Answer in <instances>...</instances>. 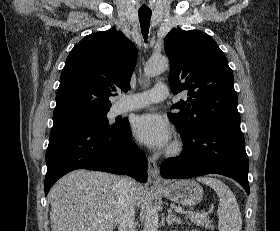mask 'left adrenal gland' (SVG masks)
<instances>
[{"mask_svg":"<svg viewBox=\"0 0 280 231\" xmlns=\"http://www.w3.org/2000/svg\"><path fill=\"white\" fill-rule=\"evenodd\" d=\"M166 221L167 223H169V225L170 223H177V225H179V223H182V219H180L178 215H175V213H172V209H168Z\"/></svg>","mask_w":280,"mask_h":231,"instance_id":"1","label":"left adrenal gland"}]
</instances>
